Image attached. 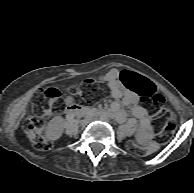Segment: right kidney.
Instances as JSON below:
<instances>
[{"instance_id":"1","label":"right kidney","mask_w":194,"mask_h":193,"mask_svg":"<svg viewBox=\"0 0 194 193\" xmlns=\"http://www.w3.org/2000/svg\"><path fill=\"white\" fill-rule=\"evenodd\" d=\"M48 132H49V137L52 140H56L61 137L63 133V129L58 118H54L51 120V122L49 123Z\"/></svg>"}]
</instances>
